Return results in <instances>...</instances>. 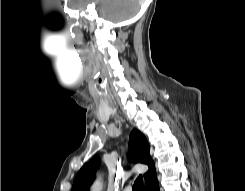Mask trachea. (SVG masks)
Masks as SVG:
<instances>
[{
	"label": "trachea",
	"instance_id": "1",
	"mask_svg": "<svg viewBox=\"0 0 245 191\" xmlns=\"http://www.w3.org/2000/svg\"><path fill=\"white\" fill-rule=\"evenodd\" d=\"M133 191H143V177L139 175L134 182Z\"/></svg>",
	"mask_w": 245,
	"mask_h": 191
}]
</instances>
